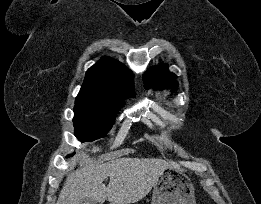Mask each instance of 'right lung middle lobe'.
I'll list each match as a JSON object with an SVG mask.
<instances>
[{"label": "right lung middle lobe", "mask_w": 261, "mask_h": 204, "mask_svg": "<svg viewBox=\"0 0 261 204\" xmlns=\"http://www.w3.org/2000/svg\"><path fill=\"white\" fill-rule=\"evenodd\" d=\"M120 107L76 101L73 122L78 140L93 141L104 136L114 123Z\"/></svg>", "instance_id": "1"}]
</instances>
